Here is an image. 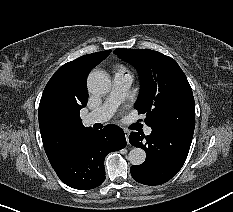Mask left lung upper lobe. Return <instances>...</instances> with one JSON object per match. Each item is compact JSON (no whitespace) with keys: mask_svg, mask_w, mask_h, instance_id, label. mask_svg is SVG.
<instances>
[{"mask_svg":"<svg viewBox=\"0 0 233 212\" xmlns=\"http://www.w3.org/2000/svg\"><path fill=\"white\" fill-rule=\"evenodd\" d=\"M116 55L134 66L141 89L135 103L139 114L152 130H171L193 134L194 97L189 82L177 62L149 49H123Z\"/></svg>","mask_w":233,"mask_h":212,"instance_id":"obj_1","label":"left lung upper lobe"}]
</instances>
